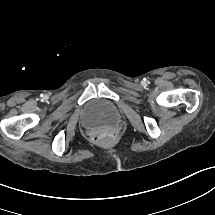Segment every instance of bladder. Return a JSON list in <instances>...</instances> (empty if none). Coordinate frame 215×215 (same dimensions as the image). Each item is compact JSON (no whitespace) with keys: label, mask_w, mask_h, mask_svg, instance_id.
Returning a JSON list of instances; mask_svg holds the SVG:
<instances>
[{"label":"bladder","mask_w":215,"mask_h":215,"mask_svg":"<svg viewBox=\"0 0 215 215\" xmlns=\"http://www.w3.org/2000/svg\"><path fill=\"white\" fill-rule=\"evenodd\" d=\"M121 119V112L115 102L108 99H94L88 102L80 115V123L87 129H109Z\"/></svg>","instance_id":"31cf9c89"}]
</instances>
